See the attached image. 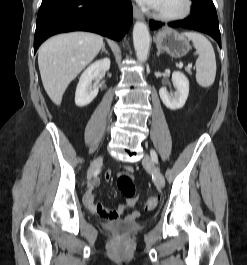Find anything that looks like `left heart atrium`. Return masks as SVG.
Returning a JSON list of instances; mask_svg holds the SVG:
<instances>
[{
  "mask_svg": "<svg viewBox=\"0 0 247 265\" xmlns=\"http://www.w3.org/2000/svg\"><path fill=\"white\" fill-rule=\"evenodd\" d=\"M141 5L155 8L159 0H137Z\"/></svg>",
  "mask_w": 247,
  "mask_h": 265,
  "instance_id": "left-heart-atrium-1",
  "label": "left heart atrium"
}]
</instances>
